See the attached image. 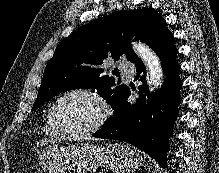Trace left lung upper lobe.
Segmentation results:
<instances>
[{"mask_svg": "<svg viewBox=\"0 0 219 173\" xmlns=\"http://www.w3.org/2000/svg\"><path fill=\"white\" fill-rule=\"evenodd\" d=\"M170 34L164 18L149 8L119 11L92 21L56 47L44 70L32 110L63 91L78 88L96 89L115 109L128 87H116L114 77L103 75V60L108 57L118 60L125 55L134 63L138 57L130 46L132 38L154 49Z\"/></svg>", "mask_w": 219, "mask_h": 173, "instance_id": "5c2ea615", "label": "left lung upper lobe"}]
</instances>
